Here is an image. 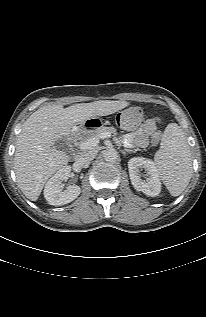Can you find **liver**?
<instances>
[{
	"label": "liver",
	"instance_id": "6515ba94",
	"mask_svg": "<svg viewBox=\"0 0 206 317\" xmlns=\"http://www.w3.org/2000/svg\"><path fill=\"white\" fill-rule=\"evenodd\" d=\"M129 104L99 100L67 108L47 105L30 115L18 136L14 157L16 180L23 194L36 201L46 181L68 164L67 155L53 147L56 141L69 137L75 125L92 117L113 114Z\"/></svg>",
	"mask_w": 206,
	"mask_h": 317
}]
</instances>
